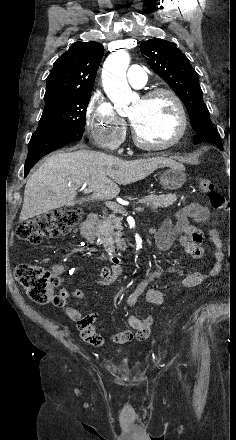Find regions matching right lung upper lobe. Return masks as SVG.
Returning a JSON list of instances; mask_svg holds the SVG:
<instances>
[{
	"label": "right lung upper lobe",
	"instance_id": "1",
	"mask_svg": "<svg viewBox=\"0 0 236 440\" xmlns=\"http://www.w3.org/2000/svg\"><path fill=\"white\" fill-rule=\"evenodd\" d=\"M104 54L96 42H75L54 63L46 80L45 103L90 93Z\"/></svg>",
	"mask_w": 236,
	"mask_h": 440
}]
</instances>
